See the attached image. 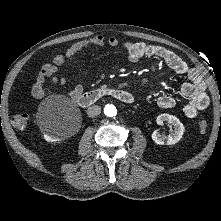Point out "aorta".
<instances>
[{
	"label": "aorta",
	"instance_id": "obj_1",
	"mask_svg": "<svg viewBox=\"0 0 221 221\" xmlns=\"http://www.w3.org/2000/svg\"><path fill=\"white\" fill-rule=\"evenodd\" d=\"M104 111L108 117H113V116H116L117 114V110L114 105H106Z\"/></svg>",
	"mask_w": 221,
	"mask_h": 221
}]
</instances>
